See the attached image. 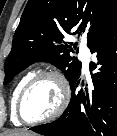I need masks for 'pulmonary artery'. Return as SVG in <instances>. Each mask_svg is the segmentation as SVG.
<instances>
[{
    "label": "pulmonary artery",
    "mask_w": 117,
    "mask_h": 136,
    "mask_svg": "<svg viewBox=\"0 0 117 136\" xmlns=\"http://www.w3.org/2000/svg\"><path fill=\"white\" fill-rule=\"evenodd\" d=\"M79 56L83 63V69L85 72H87L89 69V62L91 57L89 49L87 47L81 46Z\"/></svg>",
    "instance_id": "1"
}]
</instances>
